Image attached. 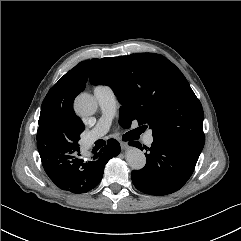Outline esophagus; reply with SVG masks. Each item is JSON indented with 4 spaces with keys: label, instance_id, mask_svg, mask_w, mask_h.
<instances>
[{
    "label": "esophagus",
    "instance_id": "1",
    "mask_svg": "<svg viewBox=\"0 0 241 241\" xmlns=\"http://www.w3.org/2000/svg\"><path fill=\"white\" fill-rule=\"evenodd\" d=\"M119 143L122 150H126L128 148V144L125 141L119 140Z\"/></svg>",
    "mask_w": 241,
    "mask_h": 241
}]
</instances>
